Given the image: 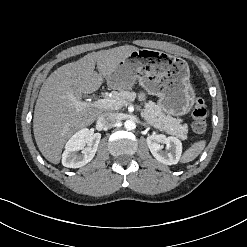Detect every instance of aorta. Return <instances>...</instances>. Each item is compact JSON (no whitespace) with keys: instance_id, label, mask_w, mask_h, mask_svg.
Masks as SVG:
<instances>
[{"instance_id":"1","label":"aorta","mask_w":247,"mask_h":247,"mask_svg":"<svg viewBox=\"0 0 247 247\" xmlns=\"http://www.w3.org/2000/svg\"><path fill=\"white\" fill-rule=\"evenodd\" d=\"M124 127L127 129V130H132L135 128V122L132 121V120H126L124 122Z\"/></svg>"}]
</instances>
